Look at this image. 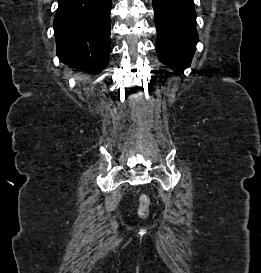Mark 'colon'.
<instances>
[{
	"label": "colon",
	"mask_w": 261,
	"mask_h": 273,
	"mask_svg": "<svg viewBox=\"0 0 261 273\" xmlns=\"http://www.w3.org/2000/svg\"><path fill=\"white\" fill-rule=\"evenodd\" d=\"M150 198L148 195H141L139 198L138 215L147 217L149 214Z\"/></svg>",
	"instance_id": "colon-1"
}]
</instances>
